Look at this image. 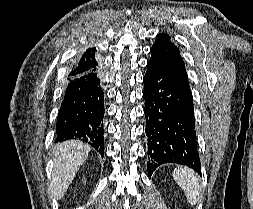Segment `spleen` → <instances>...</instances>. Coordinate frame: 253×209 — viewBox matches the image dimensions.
<instances>
[{
  "instance_id": "spleen-1",
  "label": "spleen",
  "mask_w": 253,
  "mask_h": 209,
  "mask_svg": "<svg viewBox=\"0 0 253 209\" xmlns=\"http://www.w3.org/2000/svg\"><path fill=\"white\" fill-rule=\"evenodd\" d=\"M174 180L184 190L187 200L195 205L199 198V183L194 172L185 167L175 169L173 173Z\"/></svg>"
}]
</instances>
